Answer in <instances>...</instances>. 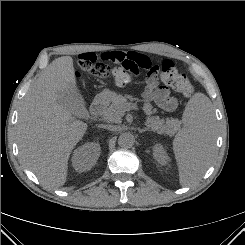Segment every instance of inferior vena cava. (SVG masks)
<instances>
[{"mask_svg": "<svg viewBox=\"0 0 245 245\" xmlns=\"http://www.w3.org/2000/svg\"><path fill=\"white\" fill-rule=\"evenodd\" d=\"M105 129H108L110 131H116L117 130V127L114 126V125H104L103 126Z\"/></svg>", "mask_w": 245, "mask_h": 245, "instance_id": "602c4592", "label": "inferior vena cava"}]
</instances>
